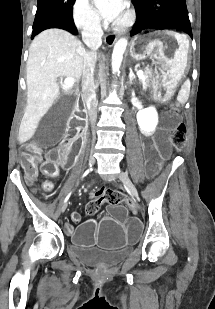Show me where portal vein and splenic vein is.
Here are the masks:
<instances>
[{
  "instance_id": "obj_1",
  "label": "portal vein and splenic vein",
  "mask_w": 215,
  "mask_h": 309,
  "mask_svg": "<svg viewBox=\"0 0 215 309\" xmlns=\"http://www.w3.org/2000/svg\"><path fill=\"white\" fill-rule=\"evenodd\" d=\"M136 74H138V78H145L144 76V70H137ZM75 80L74 78H64V84L65 86H73Z\"/></svg>"
}]
</instances>
